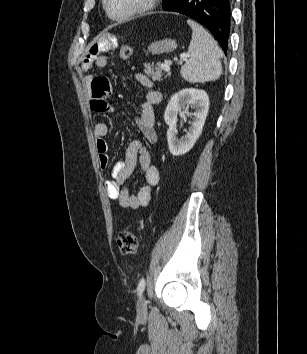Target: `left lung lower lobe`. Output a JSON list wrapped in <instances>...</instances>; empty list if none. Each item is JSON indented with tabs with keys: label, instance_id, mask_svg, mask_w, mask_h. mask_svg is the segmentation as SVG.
Returning <instances> with one entry per match:
<instances>
[{
	"label": "left lung lower lobe",
	"instance_id": "1",
	"mask_svg": "<svg viewBox=\"0 0 307 354\" xmlns=\"http://www.w3.org/2000/svg\"><path fill=\"white\" fill-rule=\"evenodd\" d=\"M164 10L179 12L204 25L227 52L231 0H171Z\"/></svg>",
	"mask_w": 307,
	"mask_h": 354
}]
</instances>
